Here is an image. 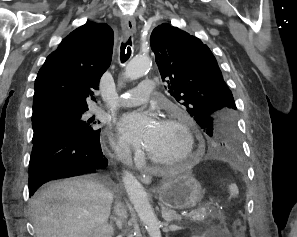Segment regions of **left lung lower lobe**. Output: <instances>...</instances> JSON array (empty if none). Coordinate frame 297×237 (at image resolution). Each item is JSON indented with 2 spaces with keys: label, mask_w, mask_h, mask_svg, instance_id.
Segmentation results:
<instances>
[{
  "label": "left lung lower lobe",
  "mask_w": 297,
  "mask_h": 237,
  "mask_svg": "<svg viewBox=\"0 0 297 237\" xmlns=\"http://www.w3.org/2000/svg\"><path fill=\"white\" fill-rule=\"evenodd\" d=\"M205 154L208 156L225 157L221 155L216 146H208L205 148Z\"/></svg>",
  "instance_id": "obj_1"
}]
</instances>
